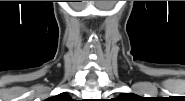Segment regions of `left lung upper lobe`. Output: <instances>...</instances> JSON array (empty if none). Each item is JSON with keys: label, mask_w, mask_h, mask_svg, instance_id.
<instances>
[{"label": "left lung upper lobe", "mask_w": 185, "mask_h": 101, "mask_svg": "<svg viewBox=\"0 0 185 101\" xmlns=\"http://www.w3.org/2000/svg\"><path fill=\"white\" fill-rule=\"evenodd\" d=\"M135 95L133 94H122L121 99H133Z\"/></svg>", "instance_id": "left-lung-upper-lobe-1"}]
</instances>
